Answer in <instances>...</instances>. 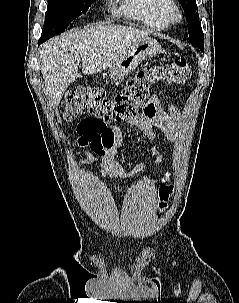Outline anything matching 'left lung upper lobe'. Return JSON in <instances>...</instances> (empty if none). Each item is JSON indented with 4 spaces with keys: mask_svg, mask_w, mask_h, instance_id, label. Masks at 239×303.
<instances>
[{
    "mask_svg": "<svg viewBox=\"0 0 239 303\" xmlns=\"http://www.w3.org/2000/svg\"><path fill=\"white\" fill-rule=\"evenodd\" d=\"M185 13L188 21L189 41L196 45L204 52V36L201 25L199 23V15L197 12L196 0H178Z\"/></svg>",
    "mask_w": 239,
    "mask_h": 303,
    "instance_id": "5c2ea615",
    "label": "left lung upper lobe"
}]
</instances>
